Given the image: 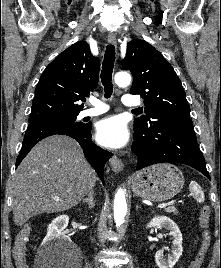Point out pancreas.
Listing matches in <instances>:
<instances>
[{
	"label": "pancreas",
	"mask_w": 221,
	"mask_h": 268,
	"mask_svg": "<svg viewBox=\"0 0 221 268\" xmlns=\"http://www.w3.org/2000/svg\"><path fill=\"white\" fill-rule=\"evenodd\" d=\"M165 211L167 213H173V215H177V213H178V211L176 210L175 207H168V208L165 209Z\"/></svg>",
	"instance_id": "1"
}]
</instances>
